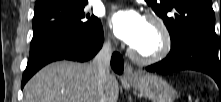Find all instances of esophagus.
Segmentation results:
<instances>
[{"mask_svg": "<svg viewBox=\"0 0 221 102\" xmlns=\"http://www.w3.org/2000/svg\"><path fill=\"white\" fill-rule=\"evenodd\" d=\"M138 76L136 70L132 68L130 65H125L124 77L127 79H134Z\"/></svg>", "mask_w": 221, "mask_h": 102, "instance_id": "1", "label": "esophagus"}]
</instances>
